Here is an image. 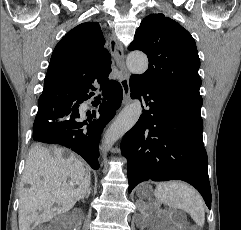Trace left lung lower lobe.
Segmentation results:
<instances>
[{
	"instance_id": "left-lung-lower-lobe-1",
	"label": "left lung lower lobe",
	"mask_w": 241,
	"mask_h": 230,
	"mask_svg": "<svg viewBox=\"0 0 241 230\" xmlns=\"http://www.w3.org/2000/svg\"><path fill=\"white\" fill-rule=\"evenodd\" d=\"M133 99L144 97L149 110L124 136L129 192L143 181L183 180L193 185L211 208L201 106L179 95L130 79Z\"/></svg>"
}]
</instances>
